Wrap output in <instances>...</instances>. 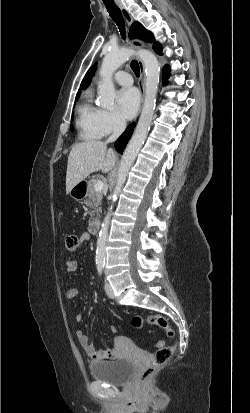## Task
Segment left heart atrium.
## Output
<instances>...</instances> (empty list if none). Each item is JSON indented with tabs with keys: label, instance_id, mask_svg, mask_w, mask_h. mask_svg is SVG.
<instances>
[{
	"label": "left heart atrium",
	"instance_id": "obj_1",
	"mask_svg": "<svg viewBox=\"0 0 250 413\" xmlns=\"http://www.w3.org/2000/svg\"><path fill=\"white\" fill-rule=\"evenodd\" d=\"M118 103L120 110L125 118H133L139 109L140 98L136 89L125 88L118 94Z\"/></svg>",
	"mask_w": 250,
	"mask_h": 413
}]
</instances>
